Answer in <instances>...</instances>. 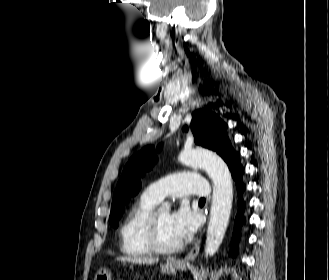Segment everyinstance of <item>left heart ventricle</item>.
<instances>
[{"instance_id": "left-heart-ventricle-1", "label": "left heart ventricle", "mask_w": 329, "mask_h": 280, "mask_svg": "<svg viewBox=\"0 0 329 280\" xmlns=\"http://www.w3.org/2000/svg\"><path fill=\"white\" fill-rule=\"evenodd\" d=\"M157 226L159 239L162 244L167 246H173L180 242L172 229L170 222V212L168 210H159Z\"/></svg>"}]
</instances>
